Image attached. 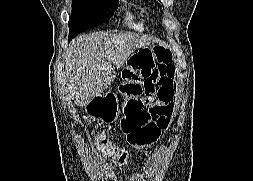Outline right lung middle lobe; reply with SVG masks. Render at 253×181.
I'll list each match as a JSON object with an SVG mask.
<instances>
[{
  "instance_id": "1",
  "label": "right lung middle lobe",
  "mask_w": 253,
  "mask_h": 181,
  "mask_svg": "<svg viewBox=\"0 0 253 181\" xmlns=\"http://www.w3.org/2000/svg\"><path fill=\"white\" fill-rule=\"evenodd\" d=\"M118 0H73L69 36L108 21L118 8Z\"/></svg>"
}]
</instances>
